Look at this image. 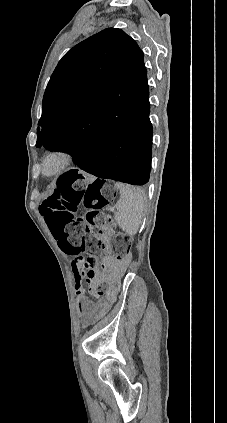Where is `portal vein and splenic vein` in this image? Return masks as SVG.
I'll list each match as a JSON object with an SVG mask.
<instances>
[{
  "label": "portal vein and splenic vein",
  "mask_w": 227,
  "mask_h": 423,
  "mask_svg": "<svg viewBox=\"0 0 227 423\" xmlns=\"http://www.w3.org/2000/svg\"><path fill=\"white\" fill-rule=\"evenodd\" d=\"M111 212L115 213L116 212V206L115 205H111L110 206Z\"/></svg>",
  "instance_id": "obj_1"
}]
</instances>
